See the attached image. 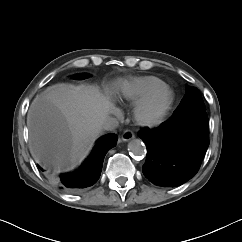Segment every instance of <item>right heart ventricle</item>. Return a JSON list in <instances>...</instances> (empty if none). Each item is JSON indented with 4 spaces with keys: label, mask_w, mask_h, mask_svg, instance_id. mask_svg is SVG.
Masks as SVG:
<instances>
[{
    "label": "right heart ventricle",
    "mask_w": 242,
    "mask_h": 242,
    "mask_svg": "<svg viewBox=\"0 0 242 242\" xmlns=\"http://www.w3.org/2000/svg\"><path fill=\"white\" fill-rule=\"evenodd\" d=\"M166 87L163 80L155 76L134 77L122 82L118 96L122 101L137 104L153 92Z\"/></svg>",
    "instance_id": "right-heart-ventricle-1"
}]
</instances>
